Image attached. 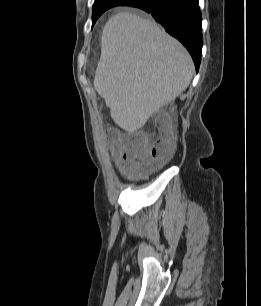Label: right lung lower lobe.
<instances>
[{
  "label": "right lung lower lobe",
  "mask_w": 261,
  "mask_h": 306,
  "mask_svg": "<svg viewBox=\"0 0 261 306\" xmlns=\"http://www.w3.org/2000/svg\"><path fill=\"white\" fill-rule=\"evenodd\" d=\"M123 5L151 13L188 50L198 71L203 45L198 0H129Z\"/></svg>",
  "instance_id": "obj_1"
}]
</instances>
